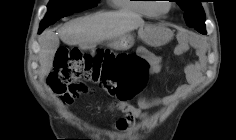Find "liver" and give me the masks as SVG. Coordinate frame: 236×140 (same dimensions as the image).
<instances>
[{
	"label": "liver",
	"instance_id": "6515ba94",
	"mask_svg": "<svg viewBox=\"0 0 236 140\" xmlns=\"http://www.w3.org/2000/svg\"><path fill=\"white\" fill-rule=\"evenodd\" d=\"M143 25L142 18L134 13L98 12L69 21L58 30V34L53 30L44 31L39 37L40 79L48 75L53 67L59 39L66 44L87 48L104 40L121 37Z\"/></svg>",
	"mask_w": 236,
	"mask_h": 140
}]
</instances>
